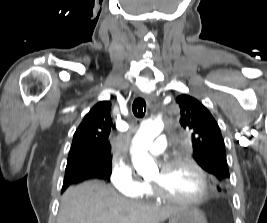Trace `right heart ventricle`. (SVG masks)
Listing matches in <instances>:
<instances>
[{"label":"right heart ventricle","instance_id":"right-heart-ventricle-1","mask_svg":"<svg viewBox=\"0 0 267 223\" xmlns=\"http://www.w3.org/2000/svg\"><path fill=\"white\" fill-rule=\"evenodd\" d=\"M141 195H145L147 197H150L152 195L150 187L147 184H145L143 192Z\"/></svg>","mask_w":267,"mask_h":223}]
</instances>
